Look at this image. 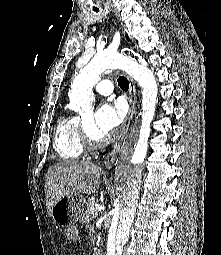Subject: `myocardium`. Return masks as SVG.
<instances>
[{
	"label": "myocardium",
	"instance_id": "f54148a6",
	"mask_svg": "<svg viewBox=\"0 0 221 255\" xmlns=\"http://www.w3.org/2000/svg\"><path fill=\"white\" fill-rule=\"evenodd\" d=\"M81 136L85 147L88 150H98L108 143V138L103 136L101 139H95L86 128L85 124H81Z\"/></svg>",
	"mask_w": 221,
	"mask_h": 255
}]
</instances>
